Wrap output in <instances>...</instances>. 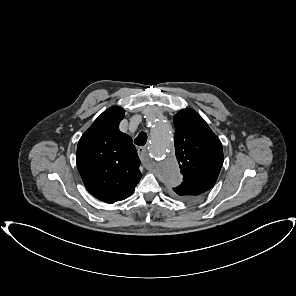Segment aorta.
<instances>
[{
  "label": "aorta",
  "instance_id": "1",
  "mask_svg": "<svg viewBox=\"0 0 296 296\" xmlns=\"http://www.w3.org/2000/svg\"><path fill=\"white\" fill-rule=\"evenodd\" d=\"M173 124L159 112L152 117L150 146L158 178L168 186H176L182 181L177 160L172 156Z\"/></svg>",
  "mask_w": 296,
  "mask_h": 296
}]
</instances>
